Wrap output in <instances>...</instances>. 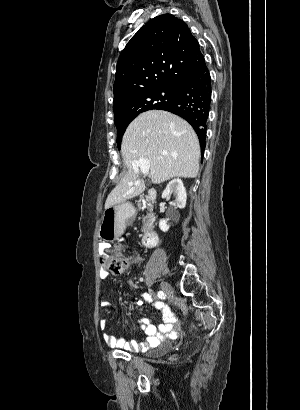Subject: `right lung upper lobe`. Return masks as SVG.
Returning a JSON list of instances; mask_svg holds the SVG:
<instances>
[{"mask_svg": "<svg viewBox=\"0 0 300 410\" xmlns=\"http://www.w3.org/2000/svg\"><path fill=\"white\" fill-rule=\"evenodd\" d=\"M203 59L199 43L184 21L171 14L150 20L118 59L113 86L115 119L134 115L137 98L146 92L178 88Z\"/></svg>", "mask_w": 300, "mask_h": 410, "instance_id": "1", "label": "right lung upper lobe"}]
</instances>
